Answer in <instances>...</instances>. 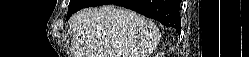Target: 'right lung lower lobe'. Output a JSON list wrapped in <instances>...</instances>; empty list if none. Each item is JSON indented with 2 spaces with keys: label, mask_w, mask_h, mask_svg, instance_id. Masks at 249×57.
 Masks as SVG:
<instances>
[{
  "label": "right lung lower lobe",
  "mask_w": 249,
  "mask_h": 57,
  "mask_svg": "<svg viewBox=\"0 0 249 57\" xmlns=\"http://www.w3.org/2000/svg\"><path fill=\"white\" fill-rule=\"evenodd\" d=\"M115 4L180 30V0H91L88 7Z\"/></svg>",
  "instance_id": "1"
}]
</instances>
